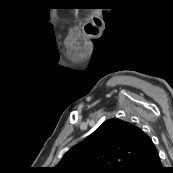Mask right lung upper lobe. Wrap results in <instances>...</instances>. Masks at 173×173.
I'll list each match as a JSON object with an SVG mask.
<instances>
[{"mask_svg":"<svg viewBox=\"0 0 173 173\" xmlns=\"http://www.w3.org/2000/svg\"><path fill=\"white\" fill-rule=\"evenodd\" d=\"M155 149L140 128L114 118L72 147L52 173H122L131 162Z\"/></svg>","mask_w":173,"mask_h":173,"instance_id":"1","label":"right lung upper lobe"}]
</instances>
